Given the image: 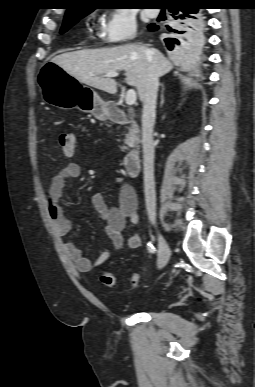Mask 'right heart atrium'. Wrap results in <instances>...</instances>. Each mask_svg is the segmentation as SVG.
Wrapping results in <instances>:
<instances>
[{
	"label": "right heart atrium",
	"instance_id": "d8ad5b80",
	"mask_svg": "<svg viewBox=\"0 0 255 387\" xmlns=\"http://www.w3.org/2000/svg\"><path fill=\"white\" fill-rule=\"evenodd\" d=\"M136 30V19L132 12L126 8H117L101 24L99 36L107 44H116L133 39Z\"/></svg>",
	"mask_w": 255,
	"mask_h": 387
}]
</instances>
